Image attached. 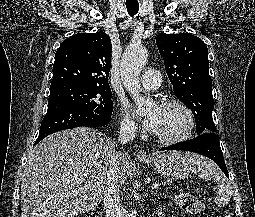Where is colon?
I'll list each match as a JSON object with an SVG mask.
<instances>
[{
  "instance_id": "1",
  "label": "colon",
  "mask_w": 255,
  "mask_h": 217,
  "mask_svg": "<svg viewBox=\"0 0 255 217\" xmlns=\"http://www.w3.org/2000/svg\"><path fill=\"white\" fill-rule=\"evenodd\" d=\"M175 203L184 212L192 215H198L204 209L203 204L195 196L189 193L182 192L176 194Z\"/></svg>"
}]
</instances>
